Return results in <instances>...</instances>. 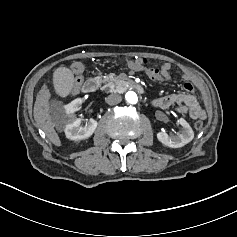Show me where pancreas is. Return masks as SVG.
I'll return each mask as SVG.
<instances>
[{
	"mask_svg": "<svg viewBox=\"0 0 237 237\" xmlns=\"http://www.w3.org/2000/svg\"><path fill=\"white\" fill-rule=\"evenodd\" d=\"M104 82H107L108 84L104 87V90L107 91H114L116 89V86L119 84L120 80L115 76V74H109L106 75L103 78Z\"/></svg>",
	"mask_w": 237,
	"mask_h": 237,
	"instance_id": "1",
	"label": "pancreas"
}]
</instances>
